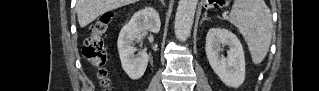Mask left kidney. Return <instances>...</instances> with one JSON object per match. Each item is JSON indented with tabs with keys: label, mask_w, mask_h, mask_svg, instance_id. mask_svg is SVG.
Masks as SVG:
<instances>
[{
	"label": "left kidney",
	"mask_w": 319,
	"mask_h": 91,
	"mask_svg": "<svg viewBox=\"0 0 319 91\" xmlns=\"http://www.w3.org/2000/svg\"><path fill=\"white\" fill-rule=\"evenodd\" d=\"M229 46L227 57L220 56L221 46ZM205 50L213 71L229 87L237 88L245 80V56L237 36L227 29L211 28Z\"/></svg>",
	"instance_id": "5707ae66"
}]
</instances>
